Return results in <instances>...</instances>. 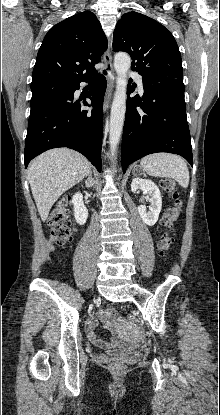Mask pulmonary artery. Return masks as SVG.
Listing matches in <instances>:
<instances>
[{
	"instance_id": "pulmonary-artery-1",
	"label": "pulmonary artery",
	"mask_w": 220,
	"mask_h": 415,
	"mask_svg": "<svg viewBox=\"0 0 220 415\" xmlns=\"http://www.w3.org/2000/svg\"><path fill=\"white\" fill-rule=\"evenodd\" d=\"M131 76H132V77L135 79V81L137 82L139 90H140V91H143L142 77H141L139 74H137V73H133V74H131Z\"/></svg>"
}]
</instances>
